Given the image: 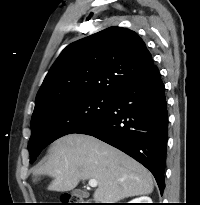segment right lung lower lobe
<instances>
[{"instance_id":"right-lung-lower-lobe-1","label":"right lung lower lobe","mask_w":200,"mask_h":205,"mask_svg":"<svg viewBox=\"0 0 200 205\" xmlns=\"http://www.w3.org/2000/svg\"><path fill=\"white\" fill-rule=\"evenodd\" d=\"M167 127L165 87L153 66L113 96L103 117L76 133L94 136L143 164L163 194Z\"/></svg>"}]
</instances>
